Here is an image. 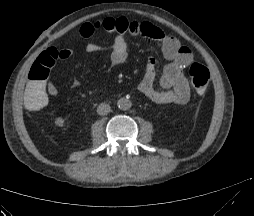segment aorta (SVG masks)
<instances>
[{
    "label": "aorta",
    "instance_id": "762f6f07",
    "mask_svg": "<svg viewBox=\"0 0 254 216\" xmlns=\"http://www.w3.org/2000/svg\"><path fill=\"white\" fill-rule=\"evenodd\" d=\"M131 106H132V103L127 98H121L118 101V107H119V109H121L123 111L130 109Z\"/></svg>",
    "mask_w": 254,
    "mask_h": 216
}]
</instances>
